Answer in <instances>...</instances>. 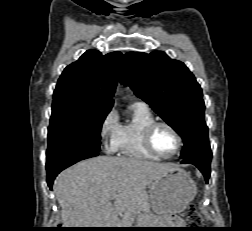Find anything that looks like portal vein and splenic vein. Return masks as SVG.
I'll return each instance as SVG.
<instances>
[{"instance_id":"portal-vein-and-splenic-vein-1","label":"portal vein and splenic vein","mask_w":252,"mask_h":231,"mask_svg":"<svg viewBox=\"0 0 252 231\" xmlns=\"http://www.w3.org/2000/svg\"><path fill=\"white\" fill-rule=\"evenodd\" d=\"M109 199L114 200V199H115V196H111Z\"/></svg>"}]
</instances>
